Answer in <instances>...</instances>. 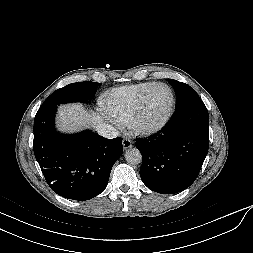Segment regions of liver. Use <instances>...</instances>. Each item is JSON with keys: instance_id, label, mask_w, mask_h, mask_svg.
<instances>
[{"instance_id": "1", "label": "liver", "mask_w": 253, "mask_h": 253, "mask_svg": "<svg viewBox=\"0 0 253 253\" xmlns=\"http://www.w3.org/2000/svg\"><path fill=\"white\" fill-rule=\"evenodd\" d=\"M102 117L89 113L80 104H69L59 107L57 126L61 131H77L85 127H96L102 122Z\"/></svg>"}]
</instances>
